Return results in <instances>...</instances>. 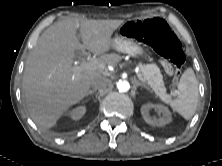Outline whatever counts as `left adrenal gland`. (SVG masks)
<instances>
[{"mask_svg":"<svg viewBox=\"0 0 222 166\" xmlns=\"http://www.w3.org/2000/svg\"><path fill=\"white\" fill-rule=\"evenodd\" d=\"M135 85L136 86H141V87H144V88H146V89H148L149 90V88L145 85V84H143V83H141L140 81H138V80H135Z\"/></svg>","mask_w":222,"mask_h":166,"instance_id":"a2214340","label":"left adrenal gland"}]
</instances>
